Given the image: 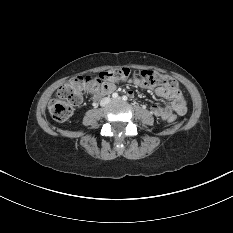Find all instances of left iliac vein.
Returning a JSON list of instances; mask_svg holds the SVG:
<instances>
[{
	"instance_id": "1",
	"label": "left iliac vein",
	"mask_w": 233,
	"mask_h": 233,
	"mask_svg": "<svg viewBox=\"0 0 233 233\" xmlns=\"http://www.w3.org/2000/svg\"><path fill=\"white\" fill-rule=\"evenodd\" d=\"M115 101H120L121 100V98L120 97H118V98H116V99H114Z\"/></svg>"
}]
</instances>
